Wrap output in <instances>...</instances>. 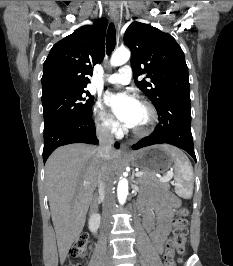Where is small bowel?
Returning <instances> with one entry per match:
<instances>
[{
    "label": "small bowel",
    "mask_w": 233,
    "mask_h": 266,
    "mask_svg": "<svg viewBox=\"0 0 233 266\" xmlns=\"http://www.w3.org/2000/svg\"><path fill=\"white\" fill-rule=\"evenodd\" d=\"M145 203L147 210L143 220L144 227L149 232L156 250L161 253L164 240L171 229V220L179 200L169 193H163L149 198L141 205Z\"/></svg>",
    "instance_id": "small-bowel-1"
}]
</instances>
